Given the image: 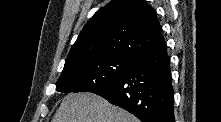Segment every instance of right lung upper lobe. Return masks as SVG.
I'll return each instance as SVG.
<instances>
[{"label":"right lung upper lobe","mask_w":221,"mask_h":122,"mask_svg":"<svg viewBox=\"0 0 221 122\" xmlns=\"http://www.w3.org/2000/svg\"><path fill=\"white\" fill-rule=\"evenodd\" d=\"M162 38L156 14L144 0H113L84 26L63 70L103 56L135 59Z\"/></svg>","instance_id":"cb5924a9"}]
</instances>
